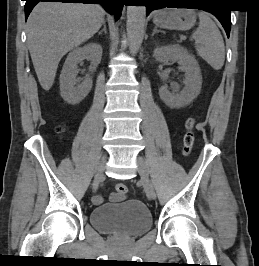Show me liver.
Returning a JSON list of instances; mask_svg holds the SVG:
<instances>
[{"mask_svg": "<svg viewBox=\"0 0 259 266\" xmlns=\"http://www.w3.org/2000/svg\"><path fill=\"white\" fill-rule=\"evenodd\" d=\"M104 9L83 3H38L27 20V44L41 87L48 91L61 58L99 31Z\"/></svg>", "mask_w": 259, "mask_h": 266, "instance_id": "1", "label": "liver"}]
</instances>
